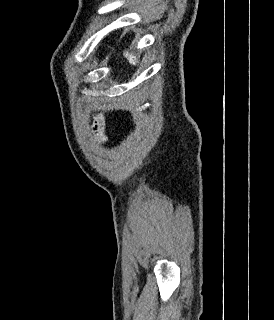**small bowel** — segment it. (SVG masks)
I'll use <instances>...</instances> for the list:
<instances>
[{"mask_svg": "<svg viewBox=\"0 0 274 320\" xmlns=\"http://www.w3.org/2000/svg\"><path fill=\"white\" fill-rule=\"evenodd\" d=\"M92 132L103 143L107 141L105 134V120L101 114H96L92 123Z\"/></svg>", "mask_w": 274, "mask_h": 320, "instance_id": "obj_1", "label": "small bowel"}]
</instances>
